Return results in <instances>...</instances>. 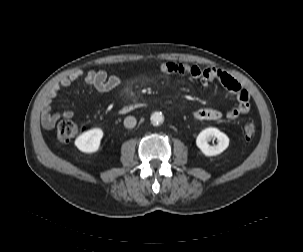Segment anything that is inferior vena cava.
<instances>
[{
  "label": "inferior vena cava",
  "mask_w": 303,
  "mask_h": 252,
  "mask_svg": "<svg viewBox=\"0 0 303 252\" xmlns=\"http://www.w3.org/2000/svg\"><path fill=\"white\" fill-rule=\"evenodd\" d=\"M136 125V118L133 117V116H127L125 119H124V126L126 128H134Z\"/></svg>",
  "instance_id": "obj_1"
}]
</instances>
